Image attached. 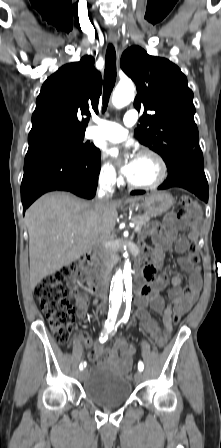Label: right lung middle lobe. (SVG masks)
Wrapping results in <instances>:
<instances>
[{
  "label": "right lung middle lobe",
  "instance_id": "obj_1",
  "mask_svg": "<svg viewBox=\"0 0 221 448\" xmlns=\"http://www.w3.org/2000/svg\"><path fill=\"white\" fill-rule=\"evenodd\" d=\"M84 135L61 138L40 146L29 148L28 152L41 150H57L69 153L79 159H90L99 149L88 142L83 143Z\"/></svg>",
  "mask_w": 221,
  "mask_h": 448
}]
</instances>
